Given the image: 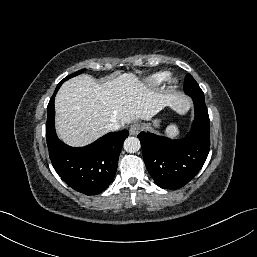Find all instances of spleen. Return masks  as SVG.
I'll return each mask as SVG.
<instances>
[{"mask_svg": "<svg viewBox=\"0 0 257 257\" xmlns=\"http://www.w3.org/2000/svg\"><path fill=\"white\" fill-rule=\"evenodd\" d=\"M166 135L170 136V137H177L179 135V129L176 125H170L167 127L166 131H165Z\"/></svg>", "mask_w": 257, "mask_h": 257, "instance_id": "1", "label": "spleen"}]
</instances>
